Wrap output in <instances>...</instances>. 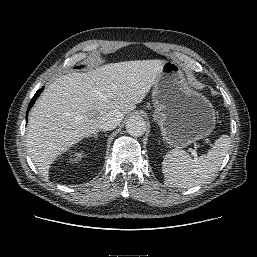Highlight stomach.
<instances>
[{
  "mask_svg": "<svg viewBox=\"0 0 257 257\" xmlns=\"http://www.w3.org/2000/svg\"><path fill=\"white\" fill-rule=\"evenodd\" d=\"M153 118L163 139L180 149L210 135L216 124L210 101L191 87L179 65L165 61L152 87Z\"/></svg>",
  "mask_w": 257,
  "mask_h": 257,
  "instance_id": "stomach-1",
  "label": "stomach"
}]
</instances>
